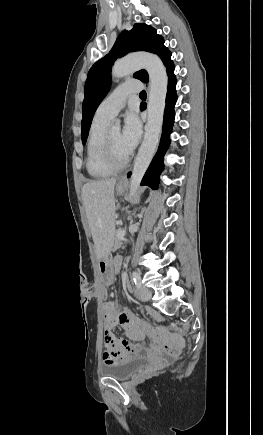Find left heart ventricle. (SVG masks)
Returning a JSON list of instances; mask_svg holds the SVG:
<instances>
[{
	"label": "left heart ventricle",
	"instance_id": "left-heart-ventricle-1",
	"mask_svg": "<svg viewBox=\"0 0 263 435\" xmlns=\"http://www.w3.org/2000/svg\"><path fill=\"white\" fill-rule=\"evenodd\" d=\"M111 144L113 147V150L115 152V155L118 159L122 160L127 156V152L123 148L122 142H121V132L119 130H114L109 133Z\"/></svg>",
	"mask_w": 263,
	"mask_h": 435
}]
</instances>
